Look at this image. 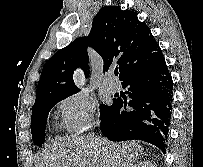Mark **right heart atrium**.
<instances>
[{
  "instance_id": "right-heart-atrium-1",
  "label": "right heart atrium",
  "mask_w": 203,
  "mask_h": 167,
  "mask_svg": "<svg viewBox=\"0 0 203 167\" xmlns=\"http://www.w3.org/2000/svg\"><path fill=\"white\" fill-rule=\"evenodd\" d=\"M63 128L70 133H80L96 122V102L83 92L72 93L58 104Z\"/></svg>"
}]
</instances>
